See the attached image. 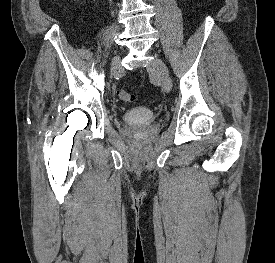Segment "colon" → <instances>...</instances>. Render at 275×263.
I'll return each instance as SVG.
<instances>
[{
  "label": "colon",
  "instance_id": "colon-1",
  "mask_svg": "<svg viewBox=\"0 0 275 263\" xmlns=\"http://www.w3.org/2000/svg\"><path fill=\"white\" fill-rule=\"evenodd\" d=\"M119 98L124 102H133L135 101V95L132 93H129L125 90L119 91Z\"/></svg>",
  "mask_w": 275,
  "mask_h": 263
}]
</instances>
